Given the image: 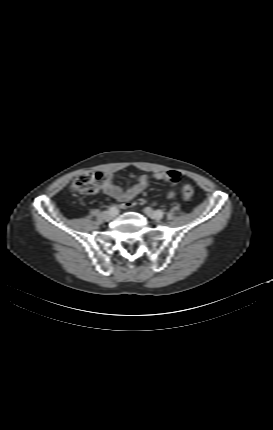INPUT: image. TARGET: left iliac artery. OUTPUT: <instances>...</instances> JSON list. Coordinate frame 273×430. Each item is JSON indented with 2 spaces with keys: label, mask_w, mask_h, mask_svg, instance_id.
Wrapping results in <instances>:
<instances>
[{
  "label": "left iliac artery",
  "mask_w": 273,
  "mask_h": 430,
  "mask_svg": "<svg viewBox=\"0 0 273 430\" xmlns=\"http://www.w3.org/2000/svg\"><path fill=\"white\" fill-rule=\"evenodd\" d=\"M158 214L162 217L164 212L162 210H157Z\"/></svg>",
  "instance_id": "44dca946"
}]
</instances>
